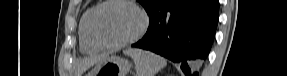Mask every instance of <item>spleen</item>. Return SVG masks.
<instances>
[{"label":"spleen","instance_id":"1","mask_svg":"<svg viewBox=\"0 0 287 76\" xmlns=\"http://www.w3.org/2000/svg\"><path fill=\"white\" fill-rule=\"evenodd\" d=\"M124 53L133 59L137 76H155L167 64L164 58L150 51L127 49Z\"/></svg>","mask_w":287,"mask_h":76}]
</instances>
